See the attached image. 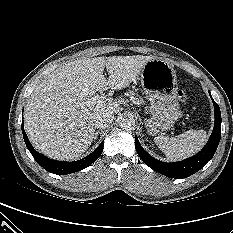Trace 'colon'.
<instances>
[{
	"label": "colon",
	"mask_w": 233,
	"mask_h": 233,
	"mask_svg": "<svg viewBox=\"0 0 233 233\" xmlns=\"http://www.w3.org/2000/svg\"><path fill=\"white\" fill-rule=\"evenodd\" d=\"M178 97H179V100L183 102V101H186V99H187V94H186L185 91L180 90V91L178 92Z\"/></svg>",
	"instance_id": "5ec220e1"
}]
</instances>
